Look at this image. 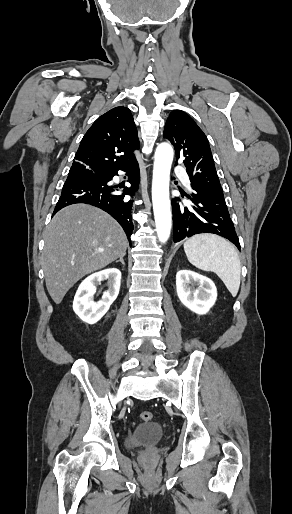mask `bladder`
I'll use <instances>...</instances> for the list:
<instances>
[{"label":"bladder","instance_id":"1","mask_svg":"<svg viewBox=\"0 0 292 514\" xmlns=\"http://www.w3.org/2000/svg\"><path fill=\"white\" fill-rule=\"evenodd\" d=\"M164 437V429L155 421L139 423L127 434L125 445L131 449L134 447L152 445L160 442Z\"/></svg>","mask_w":292,"mask_h":514}]
</instances>
